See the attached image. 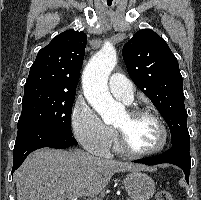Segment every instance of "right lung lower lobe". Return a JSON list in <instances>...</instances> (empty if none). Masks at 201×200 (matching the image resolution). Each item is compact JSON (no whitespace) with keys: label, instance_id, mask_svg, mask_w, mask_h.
I'll list each match as a JSON object with an SVG mask.
<instances>
[{"label":"right lung lower lobe","instance_id":"1","mask_svg":"<svg viewBox=\"0 0 201 200\" xmlns=\"http://www.w3.org/2000/svg\"><path fill=\"white\" fill-rule=\"evenodd\" d=\"M77 145L72 133L43 123L24 125L18 128L13 150V172L24 162L32 151L43 148H67Z\"/></svg>","mask_w":201,"mask_h":200}]
</instances>
